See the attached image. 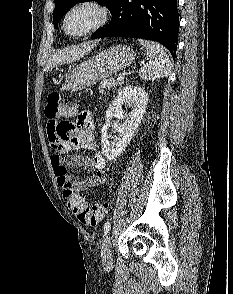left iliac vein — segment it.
I'll list each match as a JSON object with an SVG mask.
<instances>
[{
	"label": "left iliac vein",
	"mask_w": 233,
	"mask_h": 294,
	"mask_svg": "<svg viewBox=\"0 0 233 294\" xmlns=\"http://www.w3.org/2000/svg\"><path fill=\"white\" fill-rule=\"evenodd\" d=\"M101 255H102V261L106 267H109L113 263L112 259V251H111V236L108 234L104 242L102 244L101 248Z\"/></svg>",
	"instance_id": "left-iliac-vein-1"
}]
</instances>
